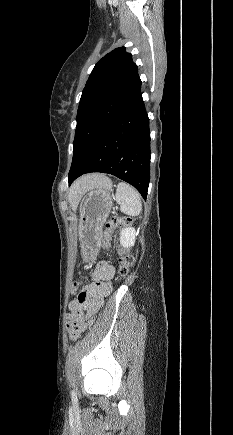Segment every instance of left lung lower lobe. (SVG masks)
<instances>
[{"label": "left lung lower lobe", "instance_id": "obj_1", "mask_svg": "<svg viewBox=\"0 0 233 435\" xmlns=\"http://www.w3.org/2000/svg\"><path fill=\"white\" fill-rule=\"evenodd\" d=\"M149 136V118L141 96L71 165L69 185L85 173H109L133 185L146 199L150 180Z\"/></svg>", "mask_w": 233, "mask_h": 435}]
</instances>
